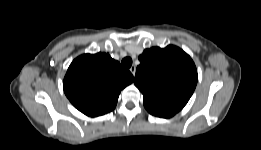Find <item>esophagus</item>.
I'll use <instances>...</instances> for the list:
<instances>
[{
	"label": "esophagus",
	"mask_w": 261,
	"mask_h": 150,
	"mask_svg": "<svg viewBox=\"0 0 261 150\" xmlns=\"http://www.w3.org/2000/svg\"><path fill=\"white\" fill-rule=\"evenodd\" d=\"M130 72L132 73V75L134 76L135 75V72H136V67L135 66H131L129 68Z\"/></svg>",
	"instance_id": "34e87169"
}]
</instances>
